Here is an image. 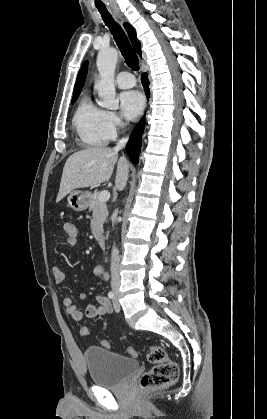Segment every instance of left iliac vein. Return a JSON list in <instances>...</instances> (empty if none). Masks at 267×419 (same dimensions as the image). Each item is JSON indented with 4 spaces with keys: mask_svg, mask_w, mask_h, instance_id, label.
<instances>
[{
    "mask_svg": "<svg viewBox=\"0 0 267 419\" xmlns=\"http://www.w3.org/2000/svg\"><path fill=\"white\" fill-rule=\"evenodd\" d=\"M113 305H114L115 311L119 312L120 311V304H119V301H118V294L117 293H116V296L114 297Z\"/></svg>",
    "mask_w": 267,
    "mask_h": 419,
    "instance_id": "left-iliac-vein-1",
    "label": "left iliac vein"
}]
</instances>
